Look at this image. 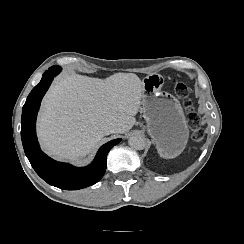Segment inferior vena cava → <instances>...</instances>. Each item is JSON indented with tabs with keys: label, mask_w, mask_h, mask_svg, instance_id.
<instances>
[{
	"label": "inferior vena cava",
	"mask_w": 244,
	"mask_h": 244,
	"mask_svg": "<svg viewBox=\"0 0 244 244\" xmlns=\"http://www.w3.org/2000/svg\"><path fill=\"white\" fill-rule=\"evenodd\" d=\"M104 132H105L106 135L111 134V133H116L117 132V127L113 123L106 124L105 127H104Z\"/></svg>",
	"instance_id": "obj_1"
}]
</instances>
